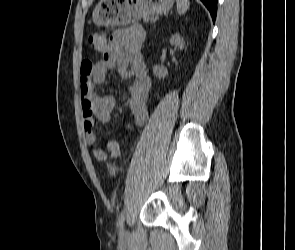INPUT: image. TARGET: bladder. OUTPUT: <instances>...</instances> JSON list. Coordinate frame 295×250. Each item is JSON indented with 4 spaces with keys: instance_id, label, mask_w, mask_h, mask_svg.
<instances>
[{
    "instance_id": "31cf9c89",
    "label": "bladder",
    "mask_w": 295,
    "mask_h": 250,
    "mask_svg": "<svg viewBox=\"0 0 295 250\" xmlns=\"http://www.w3.org/2000/svg\"><path fill=\"white\" fill-rule=\"evenodd\" d=\"M111 170H114L113 167H110Z\"/></svg>"
}]
</instances>
